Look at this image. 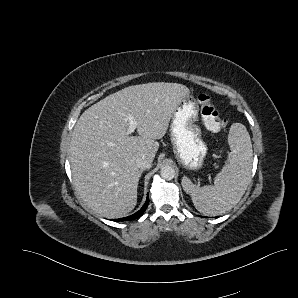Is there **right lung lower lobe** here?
Segmentation results:
<instances>
[{
	"instance_id": "98d812e1",
	"label": "right lung lower lobe",
	"mask_w": 298,
	"mask_h": 298,
	"mask_svg": "<svg viewBox=\"0 0 298 298\" xmlns=\"http://www.w3.org/2000/svg\"><path fill=\"white\" fill-rule=\"evenodd\" d=\"M148 204H149V197H147L146 202L144 203V205L138 212H136L135 214L130 215L128 217L114 219L113 221H127V220H133V219L139 218L147 209Z\"/></svg>"
}]
</instances>
